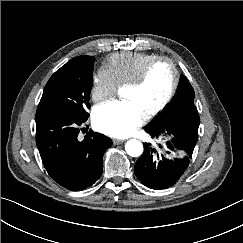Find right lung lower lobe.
I'll use <instances>...</instances> for the list:
<instances>
[{
	"instance_id": "1",
	"label": "right lung lower lobe",
	"mask_w": 243,
	"mask_h": 243,
	"mask_svg": "<svg viewBox=\"0 0 243 243\" xmlns=\"http://www.w3.org/2000/svg\"><path fill=\"white\" fill-rule=\"evenodd\" d=\"M88 117L36 115V144L42 162L61 186L81 191L95 183L103 170V154L112 145L110 138L90 132L79 141V126Z\"/></svg>"
}]
</instances>
